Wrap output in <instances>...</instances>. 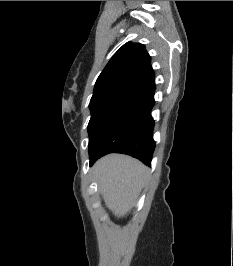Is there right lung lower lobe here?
Returning <instances> with one entry per match:
<instances>
[{
    "label": "right lung lower lobe",
    "mask_w": 233,
    "mask_h": 266,
    "mask_svg": "<svg viewBox=\"0 0 233 266\" xmlns=\"http://www.w3.org/2000/svg\"><path fill=\"white\" fill-rule=\"evenodd\" d=\"M154 90L104 141L98 150L89 154L90 165L98 158L112 152L131 155L146 165L151 164L155 149L154 120L151 116L154 106Z\"/></svg>",
    "instance_id": "1"
}]
</instances>
